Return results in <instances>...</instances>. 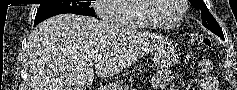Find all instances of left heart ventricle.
I'll return each mask as SVG.
<instances>
[{
  "instance_id": "left-heart-ventricle-1",
  "label": "left heart ventricle",
  "mask_w": 237,
  "mask_h": 90,
  "mask_svg": "<svg viewBox=\"0 0 237 90\" xmlns=\"http://www.w3.org/2000/svg\"><path fill=\"white\" fill-rule=\"evenodd\" d=\"M176 3L177 0H149L146 6H153L149 14L155 21L171 25L176 23L180 15V7Z\"/></svg>"
}]
</instances>
